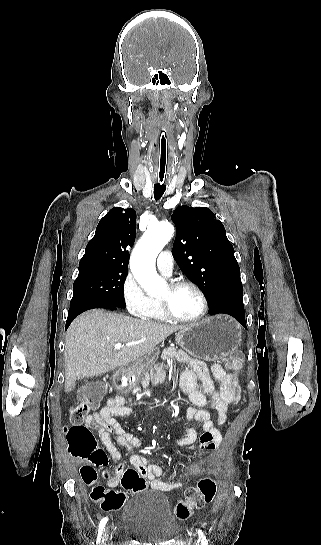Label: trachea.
<instances>
[{"label":"trachea","mask_w":321,"mask_h":545,"mask_svg":"<svg viewBox=\"0 0 321 545\" xmlns=\"http://www.w3.org/2000/svg\"><path fill=\"white\" fill-rule=\"evenodd\" d=\"M161 136H160V152L158 154V157H159V160H158V167L156 169V172L157 174L154 176V181H153V188H154V197L156 200H158L159 198H161V196L163 195V193L165 192V189H166V184H165V174L167 172V165H168V157H169V154L167 152V143H166V139H167V136H166V131H161Z\"/></svg>","instance_id":"1"}]
</instances>
